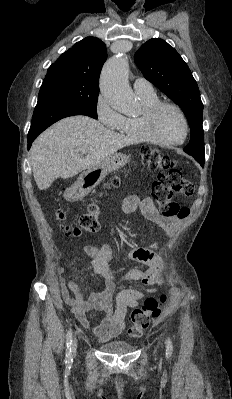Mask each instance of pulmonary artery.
I'll return each instance as SVG.
<instances>
[{
	"label": "pulmonary artery",
	"mask_w": 232,
	"mask_h": 399,
	"mask_svg": "<svg viewBox=\"0 0 232 399\" xmlns=\"http://www.w3.org/2000/svg\"><path fill=\"white\" fill-rule=\"evenodd\" d=\"M132 82L135 88L138 89V96H153L154 83L143 81L142 77H133Z\"/></svg>",
	"instance_id": "1"
}]
</instances>
